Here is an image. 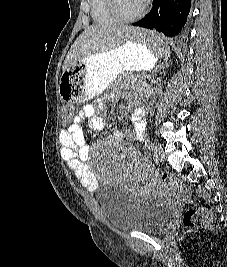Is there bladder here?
I'll list each match as a JSON object with an SVG mask.
<instances>
[{
    "label": "bladder",
    "mask_w": 227,
    "mask_h": 267,
    "mask_svg": "<svg viewBox=\"0 0 227 267\" xmlns=\"http://www.w3.org/2000/svg\"><path fill=\"white\" fill-rule=\"evenodd\" d=\"M108 223L117 229L157 234L170 219V210L153 195L137 196L113 184L99 195Z\"/></svg>",
    "instance_id": "obj_1"
}]
</instances>
